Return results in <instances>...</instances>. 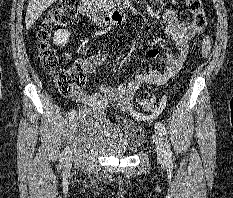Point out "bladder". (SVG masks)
Returning a JSON list of instances; mask_svg holds the SVG:
<instances>
[{
  "label": "bladder",
  "instance_id": "bladder-1",
  "mask_svg": "<svg viewBox=\"0 0 233 198\" xmlns=\"http://www.w3.org/2000/svg\"><path fill=\"white\" fill-rule=\"evenodd\" d=\"M71 126L79 147L107 155L125 156L138 149L144 141V131L140 126L131 122L113 123L97 109L79 110Z\"/></svg>",
  "mask_w": 233,
  "mask_h": 198
}]
</instances>
